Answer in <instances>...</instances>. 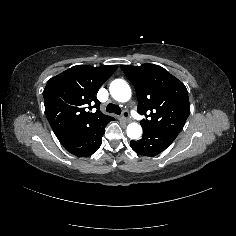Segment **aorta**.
I'll return each instance as SVG.
<instances>
[{
  "label": "aorta",
  "instance_id": "1",
  "mask_svg": "<svg viewBox=\"0 0 236 236\" xmlns=\"http://www.w3.org/2000/svg\"><path fill=\"white\" fill-rule=\"evenodd\" d=\"M109 92L111 96L119 101L125 102L129 100L131 96V89L129 85L124 80H118L116 82H111L109 86ZM127 136L132 140H137L142 135V128L137 123H131L127 127Z\"/></svg>",
  "mask_w": 236,
  "mask_h": 236
}]
</instances>
